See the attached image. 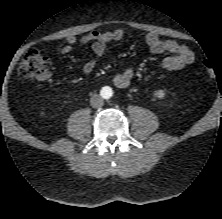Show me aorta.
I'll list each match as a JSON object with an SVG mask.
<instances>
[{"instance_id": "762f6f07", "label": "aorta", "mask_w": 222, "mask_h": 219, "mask_svg": "<svg viewBox=\"0 0 222 219\" xmlns=\"http://www.w3.org/2000/svg\"><path fill=\"white\" fill-rule=\"evenodd\" d=\"M111 94H112V93H111V92H109V93H108V96H111Z\"/></svg>"}]
</instances>
